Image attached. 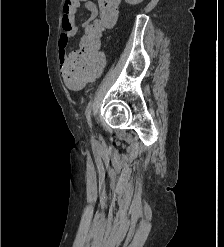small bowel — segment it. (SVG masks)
Listing matches in <instances>:
<instances>
[{
  "label": "small bowel",
  "mask_w": 224,
  "mask_h": 247,
  "mask_svg": "<svg viewBox=\"0 0 224 247\" xmlns=\"http://www.w3.org/2000/svg\"><path fill=\"white\" fill-rule=\"evenodd\" d=\"M77 7L74 12L69 16L65 17L62 15V29L63 32L59 36L58 40V57L60 62H64L68 59V55L66 54V47L68 45V41L71 37L77 34L78 28L75 23V15L80 6H84L89 11V18L83 23L84 28H88L90 23L94 21L98 15V7L91 0H76Z\"/></svg>",
  "instance_id": "c3829d8e"
}]
</instances>
